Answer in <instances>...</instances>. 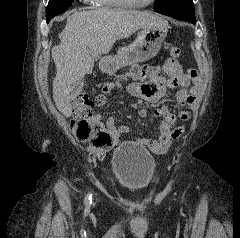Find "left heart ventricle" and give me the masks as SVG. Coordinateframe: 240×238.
Listing matches in <instances>:
<instances>
[{
    "mask_svg": "<svg viewBox=\"0 0 240 238\" xmlns=\"http://www.w3.org/2000/svg\"><path fill=\"white\" fill-rule=\"evenodd\" d=\"M128 1L139 2V3H145V2H148L149 0H128Z\"/></svg>",
    "mask_w": 240,
    "mask_h": 238,
    "instance_id": "1",
    "label": "left heart ventricle"
}]
</instances>
